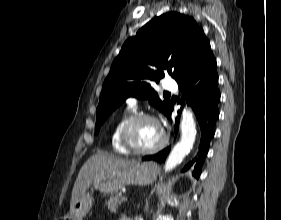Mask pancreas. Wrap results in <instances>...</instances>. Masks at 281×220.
<instances>
[{"instance_id": "cf45deb5", "label": "pancreas", "mask_w": 281, "mask_h": 220, "mask_svg": "<svg viewBox=\"0 0 281 220\" xmlns=\"http://www.w3.org/2000/svg\"><path fill=\"white\" fill-rule=\"evenodd\" d=\"M122 193L117 192L115 195H112L110 199L106 202L108 209L111 212H115L118 209V206L121 204Z\"/></svg>"}]
</instances>
